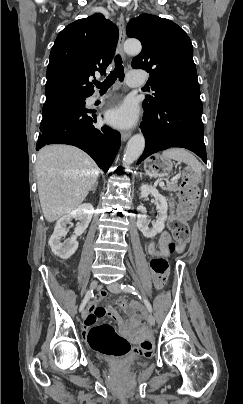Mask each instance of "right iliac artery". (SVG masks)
<instances>
[{"label": "right iliac artery", "mask_w": 243, "mask_h": 404, "mask_svg": "<svg viewBox=\"0 0 243 404\" xmlns=\"http://www.w3.org/2000/svg\"><path fill=\"white\" fill-rule=\"evenodd\" d=\"M91 297H93V290H89V291L86 293V295H85V297H84V299H83V301H82V303H81V305H80V308H79L80 311H82V310L84 309L86 303L89 301V299H90Z\"/></svg>", "instance_id": "right-iliac-artery-1"}]
</instances>
